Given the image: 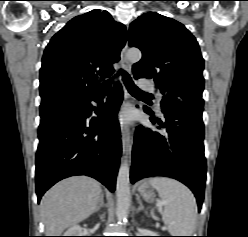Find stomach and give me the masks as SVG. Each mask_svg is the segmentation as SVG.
Returning <instances> with one entry per match:
<instances>
[{"mask_svg":"<svg viewBox=\"0 0 248 237\" xmlns=\"http://www.w3.org/2000/svg\"><path fill=\"white\" fill-rule=\"evenodd\" d=\"M138 191L140 195L142 196V198L146 200L147 202L154 201V198H155L154 190L147 181H144L139 185Z\"/></svg>","mask_w":248,"mask_h":237,"instance_id":"obj_1","label":"stomach"}]
</instances>
